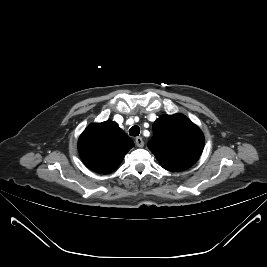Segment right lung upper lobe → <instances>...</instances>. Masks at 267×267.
<instances>
[{
	"label": "right lung upper lobe",
	"instance_id": "right-lung-upper-lobe-1",
	"mask_svg": "<svg viewBox=\"0 0 267 267\" xmlns=\"http://www.w3.org/2000/svg\"><path fill=\"white\" fill-rule=\"evenodd\" d=\"M133 146L132 139L113 121L89 125L78 141V151L83 163L101 174L117 169Z\"/></svg>",
	"mask_w": 267,
	"mask_h": 267
}]
</instances>
